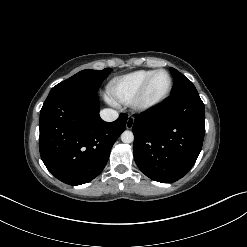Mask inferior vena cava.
I'll return each mask as SVG.
<instances>
[{"label":"inferior vena cava","mask_w":247,"mask_h":247,"mask_svg":"<svg viewBox=\"0 0 247 247\" xmlns=\"http://www.w3.org/2000/svg\"><path fill=\"white\" fill-rule=\"evenodd\" d=\"M100 116L102 120L112 122L118 118L119 114L113 109H103L100 111Z\"/></svg>","instance_id":"1"}]
</instances>
